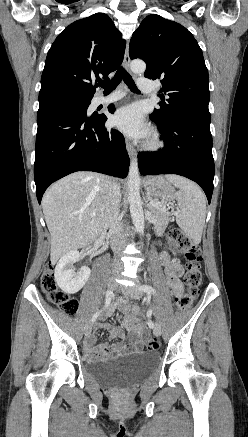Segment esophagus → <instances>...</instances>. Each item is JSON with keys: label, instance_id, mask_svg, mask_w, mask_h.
Instances as JSON below:
<instances>
[{"label": "esophagus", "instance_id": "1", "mask_svg": "<svg viewBox=\"0 0 248 437\" xmlns=\"http://www.w3.org/2000/svg\"><path fill=\"white\" fill-rule=\"evenodd\" d=\"M124 67L128 72L130 71V57H129V43L128 42H127L125 54H124ZM126 149H127L129 156L132 157L135 155L136 151H135L132 143L127 139H126Z\"/></svg>", "mask_w": 248, "mask_h": 437}]
</instances>
